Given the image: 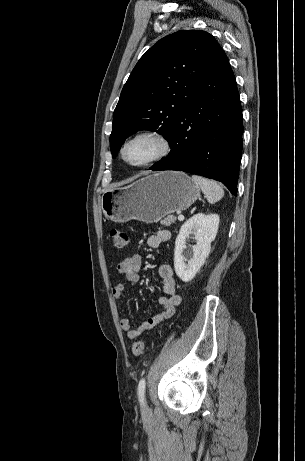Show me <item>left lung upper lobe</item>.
Listing matches in <instances>:
<instances>
[{"instance_id":"5c2ea615","label":"left lung upper lobe","mask_w":305,"mask_h":461,"mask_svg":"<svg viewBox=\"0 0 305 461\" xmlns=\"http://www.w3.org/2000/svg\"><path fill=\"white\" fill-rule=\"evenodd\" d=\"M222 51L211 34L200 30H180L153 45L122 89L113 114L112 156L139 130L157 131L169 140L191 91Z\"/></svg>"}]
</instances>
